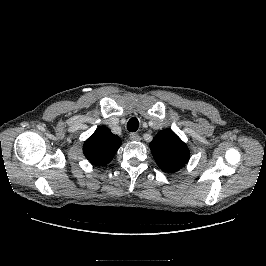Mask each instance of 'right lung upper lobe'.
Listing matches in <instances>:
<instances>
[{"label":"right lung upper lobe","mask_w":266,"mask_h":266,"mask_svg":"<svg viewBox=\"0 0 266 266\" xmlns=\"http://www.w3.org/2000/svg\"><path fill=\"white\" fill-rule=\"evenodd\" d=\"M121 144L122 141L117 135H113L108 128L100 126L84 142L83 152L92 164L104 166L113 159Z\"/></svg>","instance_id":"1"}]
</instances>
